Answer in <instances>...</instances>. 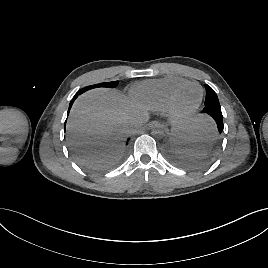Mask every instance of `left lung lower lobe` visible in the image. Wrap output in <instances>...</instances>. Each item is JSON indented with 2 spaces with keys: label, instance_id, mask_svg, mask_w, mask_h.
I'll return each instance as SVG.
<instances>
[{
  "label": "left lung lower lobe",
  "instance_id": "obj_1",
  "mask_svg": "<svg viewBox=\"0 0 268 268\" xmlns=\"http://www.w3.org/2000/svg\"><path fill=\"white\" fill-rule=\"evenodd\" d=\"M205 114H208L209 116H211L217 125L219 134H221L223 132V128H224V124H223V115L221 112V107H205L202 111ZM218 139V138H217ZM189 142V141H188ZM208 147H206L207 149ZM205 149V151H206Z\"/></svg>",
  "mask_w": 268,
  "mask_h": 268
}]
</instances>
